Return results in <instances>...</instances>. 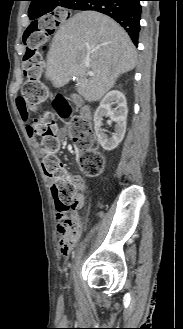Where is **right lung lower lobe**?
Wrapping results in <instances>:
<instances>
[{"mask_svg":"<svg viewBox=\"0 0 183 329\" xmlns=\"http://www.w3.org/2000/svg\"><path fill=\"white\" fill-rule=\"evenodd\" d=\"M141 0H72L67 8L74 10H93L112 17L129 34L133 43L138 45L141 18Z\"/></svg>","mask_w":183,"mask_h":329,"instance_id":"right-lung-lower-lobe-1","label":"right lung lower lobe"}]
</instances>
